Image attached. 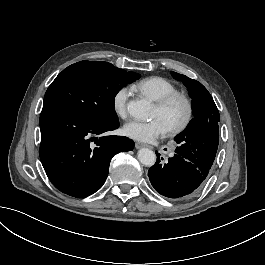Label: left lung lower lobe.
Here are the masks:
<instances>
[{
	"label": "left lung lower lobe",
	"instance_id": "1",
	"mask_svg": "<svg viewBox=\"0 0 265 265\" xmlns=\"http://www.w3.org/2000/svg\"><path fill=\"white\" fill-rule=\"evenodd\" d=\"M210 170L203 163L192 162L176 153L164 165L160 164L158 158L149 169L148 177L159 194L172 199L186 200L198 192Z\"/></svg>",
	"mask_w": 265,
	"mask_h": 265
}]
</instances>
